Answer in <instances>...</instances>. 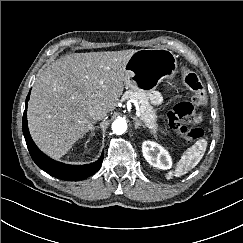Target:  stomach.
I'll return each instance as SVG.
<instances>
[{
  "mask_svg": "<svg viewBox=\"0 0 243 243\" xmlns=\"http://www.w3.org/2000/svg\"><path fill=\"white\" fill-rule=\"evenodd\" d=\"M125 85L132 90L150 91L166 78H172L177 61L172 51L165 48L140 49L128 60Z\"/></svg>",
  "mask_w": 243,
  "mask_h": 243,
  "instance_id": "stomach-1",
  "label": "stomach"
}]
</instances>
